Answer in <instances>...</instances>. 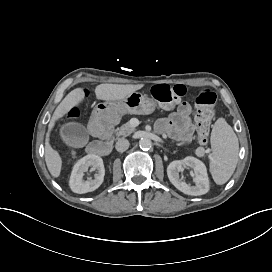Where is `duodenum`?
<instances>
[{
    "instance_id": "duodenum-1",
    "label": "duodenum",
    "mask_w": 272,
    "mask_h": 272,
    "mask_svg": "<svg viewBox=\"0 0 272 272\" xmlns=\"http://www.w3.org/2000/svg\"><path fill=\"white\" fill-rule=\"evenodd\" d=\"M90 131L97 140L88 145L87 151L91 155L106 156L111 151L109 138L112 126L106 118V110L100 106L96 109L89 125Z\"/></svg>"
}]
</instances>
